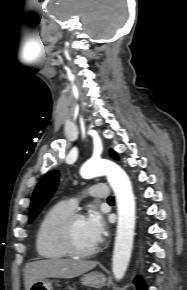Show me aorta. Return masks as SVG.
Here are the masks:
<instances>
[{
    "label": "aorta",
    "instance_id": "762f6f07",
    "mask_svg": "<svg viewBox=\"0 0 187 290\" xmlns=\"http://www.w3.org/2000/svg\"><path fill=\"white\" fill-rule=\"evenodd\" d=\"M85 179L105 175L117 200L118 224L112 258V272L121 280L127 270L135 229V198L127 174L116 164L102 160H89L81 168Z\"/></svg>",
    "mask_w": 187,
    "mask_h": 290
}]
</instances>
